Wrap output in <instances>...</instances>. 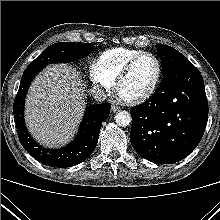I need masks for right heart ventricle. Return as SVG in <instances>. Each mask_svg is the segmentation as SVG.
<instances>
[{"mask_svg": "<svg viewBox=\"0 0 220 220\" xmlns=\"http://www.w3.org/2000/svg\"><path fill=\"white\" fill-rule=\"evenodd\" d=\"M139 52H141V50L125 47L108 49L100 54L97 64L103 75L110 82L114 83L125 64Z\"/></svg>", "mask_w": 220, "mask_h": 220, "instance_id": "obj_1", "label": "right heart ventricle"}]
</instances>
